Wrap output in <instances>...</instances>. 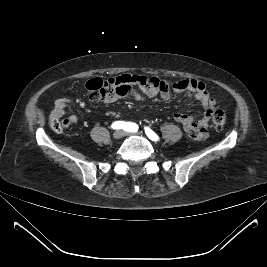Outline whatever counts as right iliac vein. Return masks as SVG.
<instances>
[{
    "label": "right iliac vein",
    "mask_w": 267,
    "mask_h": 267,
    "mask_svg": "<svg viewBox=\"0 0 267 267\" xmlns=\"http://www.w3.org/2000/svg\"><path fill=\"white\" fill-rule=\"evenodd\" d=\"M124 135H125L124 130L119 129V130L114 132L113 138L118 140V139H121Z\"/></svg>",
    "instance_id": "1"
}]
</instances>
